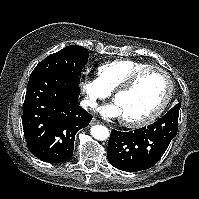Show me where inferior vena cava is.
<instances>
[{"label":"inferior vena cava","instance_id":"inferior-vena-cava-1","mask_svg":"<svg viewBox=\"0 0 199 199\" xmlns=\"http://www.w3.org/2000/svg\"><path fill=\"white\" fill-rule=\"evenodd\" d=\"M80 106L84 109H87L88 107L94 108L96 106V102L92 99H84L80 102Z\"/></svg>","mask_w":199,"mask_h":199}]
</instances>
